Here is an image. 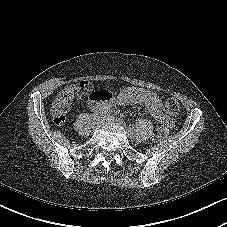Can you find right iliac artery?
Returning a JSON list of instances; mask_svg holds the SVG:
<instances>
[{"label":"right iliac artery","instance_id":"right-iliac-artery-1","mask_svg":"<svg viewBox=\"0 0 227 227\" xmlns=\"http://www.w3.org/2000/svg\"><path fill=\"white\" fill-rule=\"evenodd\" d=\"M98 114H99V113H96V115L94 116V119L99 118Z\"/></svg>","mask_w":227,"mask_h":227}]
</instances>
